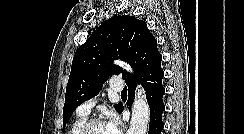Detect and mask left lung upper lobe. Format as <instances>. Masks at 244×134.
<instances>
[{"label":"left lung upper lobe","mask_w":244,"mask_h":134,"mask_svg":"<svg viewBox=\"0 0 244 134\" xmlns=\"http://www.w3.org/2000/svg\"><path fill=\"white\" fill-rule=\"evenodd\" d=\"M113 59L129 63L134 75L114 65ZM157 41L143 20L113 16L103 22L81 45L73 58L63 107V128L75 109L96 96L109 76L122 74L128 89L143 87L155 76H163ZM122 104H116L120 111Z\"/></svg>","instance_id":"5c2ea615"}]
</instances>
